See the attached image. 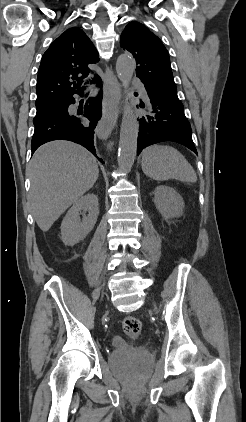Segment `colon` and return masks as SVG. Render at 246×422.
Returning <instances> with one entry per match:
<instances>
[{
  "label": "colon",
  "mask_w": 246,
  "mask_h": 422,
  "mask_svg": "<svg viewBox=\"0 0 246 422\" xmlns=\"http://www.w3.org/2000/svg\"><path fill=\"white\" fill-rule=\"evenodd\" d=\"M122 329L128 337L137 339L142 331V323L134 316H126L122 320Z\"/></svg>",
  "instance_id": "1"
}]
</instances>
